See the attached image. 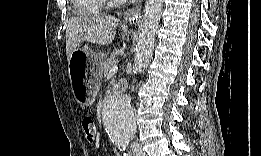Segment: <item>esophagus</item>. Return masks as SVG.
<instances>
[{"label": "esophagus", "mask_w": 261, "mask_h": 156, "mask_svg": "<svg viewBox=\"0 0 261 156\" xmlns=\"http://www.w3.org/2000/svg\"><path fill=\"white\" fill-rule=\"evenodd\" d=\"M128 15H129V17H133V20L135 19V17H136V19H137V17H138V11H136V10H134V9L129 10Z\"/></svg>", "instance_id": "34e87169"}]
</instances>
